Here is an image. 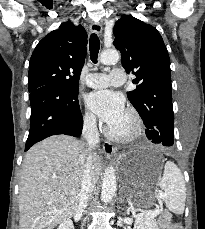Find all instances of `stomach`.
<instances>
[{"label":"stomach","instance_id":"0dacf381","mask_svg":"<svg viewBox=\"0 0 205 229\" xmlns=\"http://www.w3.org/2000/svg\"><path fill=\"white\" fill-rule=\"evenodd\" d=\"M160 154L150 149H138L120 156L123 188L129 197L140 196L147 201L155 198L153 185L163 166Z\"/></svg>","mask_w":205,"mask_h":229}]
</instances>
